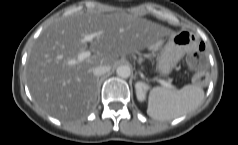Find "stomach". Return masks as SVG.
I'll return each instance as SVG.
<instances>
[{"mask_svg":"<svg viewBox=\"0 0 238 145\" xmlns=\"http://www.w3.org/2000/svg\"><path fill=\"white\" fill-rule=\"evenodd\" d=\"M195 43V36L191 32H180L179 34L170 35L165 49L157 56V71L161 75H168L181 56L193 49Z\"/></svg>","mask_w":238,"mask_h":145,"instance_id":"0dacf381","label":"stomach"}]
</instances>
